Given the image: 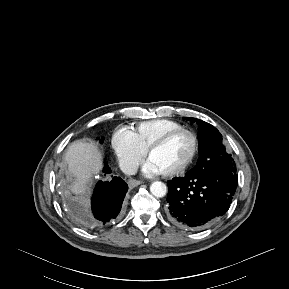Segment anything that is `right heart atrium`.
<instances>
[{"mask_svg": "<svg viewBox=\"0 0 289 289\" xmlns=\"http://www.w3.org/2000/svg\"><path fill=\"white\" fill-rule=\"evenodd\" d=\"M112 147L121 167L127 172L135 170L145 154L128 129H119L113 134Z\"/></svg>", "mask_w": 289, "mask_h": 289, "instance_id": "right-heart-atrium-1", "label": "right heart atrium"}]
</instances>
